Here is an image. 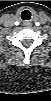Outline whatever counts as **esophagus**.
<instances>
[{"label": "esophagus", "instance_id": "obj_1", "mask_svg": "<svg viewBox=\"0 0 51 101\" xmlns=\"http://www.w3.org/2000/svg\"><path fill=\"white\" fill-rule=\"evenodd\" d=\"M23 25L26 26V27H30L31 26V23L28 22V21H26V22L23 23Z\"/></svg>", "mask_w": 51, "mask_h": 101}]
</instances>
